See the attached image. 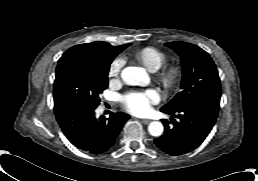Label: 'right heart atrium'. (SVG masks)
Segmentation results:
<instances>
[{
  "label": "right heart atrium",
  "instance_id": "1",
  "mask_svg": "<svg viewBox=\"0 0 258 181\" xmlns=\"http://www.w3.org/2000/svg\"><path fill=\"white\" fill-rule=\"evenodd\" d=\"M124 65V59L121 57H118L113 60L109 67V77L111 78H118L121 74L122 67Z\"/></svg>",
  "mask_w": 258,
  "mask_h": 181
}]
</instances>
